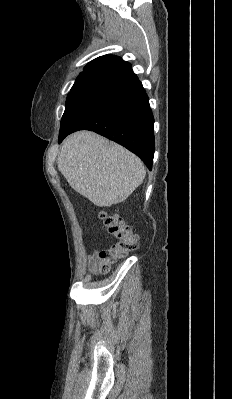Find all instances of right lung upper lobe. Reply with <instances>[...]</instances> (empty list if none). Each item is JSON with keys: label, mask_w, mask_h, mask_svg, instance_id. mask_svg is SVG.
Returning a JSON list of instances; mask_svg holds the SVG:
<instances>
[{"label": "right lung upper lobe", "mask_w": 232, "mask_h": 399, "mask_svg": "<svg viewBox=\"0 0 232 399\" xmlns=\"http://www.w3.org/2000/svg\"><path fill=\"white\" fill-rule=\"evenodd\" d=\"M131 68L128 62L118 56L104 55L88 63L76 80L101 82Z\"/></svg>", "instance_id": "obj_1"}]
</instances>
